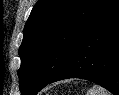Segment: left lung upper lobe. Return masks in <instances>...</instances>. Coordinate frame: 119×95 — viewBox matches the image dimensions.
<instances>
[{"label": "left lung upper lobe", "instance_id": "obj_1", "mask_svg": "<svg viewBox=\"0 0 119 95\" xmlns=\"http://www.w3.org/2000/svg\"><path fill=\"white\" fill-rule=\"evenodd\" d=\"M118 0H38L23 30L21 95H34L66 65L83 35Z\"/></svg>", "mask_w": 119, "mask_h": 95}]
</instances>
